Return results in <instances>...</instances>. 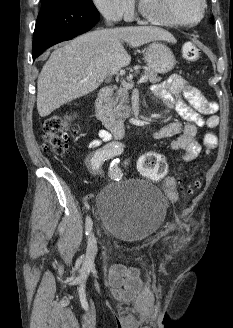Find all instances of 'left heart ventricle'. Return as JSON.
<instances>
[{"mask_svg":"<svg viewBox=\"0 0 233 328\" xmlns=\"http://www.w3.org/2000/svg\"><path fill=\"white\" fill-rule=\"evenodd\" d=\"M157 14L184 22H193L201 12L200 0H145Z\"/></svg>","mask_w":233,"mask_h":328,"instance_id":"1","label":"left heart ventricle"}]
</instances>
